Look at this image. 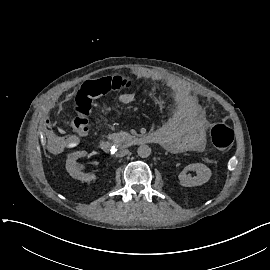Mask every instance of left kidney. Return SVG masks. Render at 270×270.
Returning <instances> with one entry per match:
<instances>
[{"label": "left kidney", "mask_w": 270, "mask_h": 270, "mask_svg": "<svg viewBox=\"0 0 270 270\" xmlns=\"http://www.w3.org/2000/svg\"><path fill=\"white\" fill-rule=\"evenodd\" d=\"M195 170L197 176L190 177L186 175V171ZM211 177V169L202 163H192L185 167L184 172L178 176L179 182L185 187H194L205 184Z\"/></svg>", "instance_id": "obj_1"}]
</instances>
